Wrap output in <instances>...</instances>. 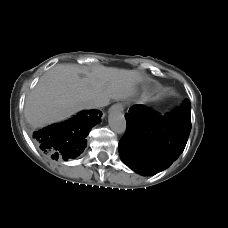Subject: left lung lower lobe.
<instances>
[{
    "label": "left lung lower lobe",
    "mask_w": 228,
    "mask_h": 228,
    "mask_svg": "<svg viewBox=\"0 0 228 228\" xmlns=\"http://www.w3.org/2000/svg\"><path fill=\"white\" fill-rule=\"evenodd\" d=\"M125 118L127 132L119 142L121 159L139 174L153 175L183 152L191 130V104L185 100L179 109L164 116L134 105Z\"/></svg>",
    "instance_id": "0a47b994"
}]
</instances>
